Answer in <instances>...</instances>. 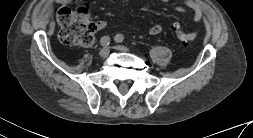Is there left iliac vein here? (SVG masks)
<instances>
[{"mask_svg": "<svg viewBox=\"0 0 253 138\" xmlns=\"http://www.w3.org/2000/svg\"><path fill=\"white\" fill-rule=\"evenodd\" d=\"M114 48L116 50L122 51V52H128L129 51V49L127 47L123 46V45H116Z\"/></svg>", "mask_w": 253, "mask_h": 138, "instance_id": "left-iliac-vein-1", "label": "left iliac vein"}]
</instances>
